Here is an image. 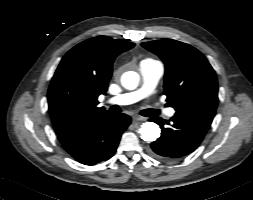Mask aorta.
<instances>
[{"instance_id": "aorta-1", "label": "aorta", "mask_w": 253, "mask_h": 200, "mask_svg": "<svg viewBox=\"0 0 253 200\" xmlns=\"http://www.w3.org/2000/svg\"><path fill=\"white\" fill-rule=\"evenodd\" d=\"M139 75L135 71H129L122 76V85L129 90L135 89L139 83ZM141 138L147 142H153L160 137L161 130L154 122H145L139 129Z\"/></svg>"}]
</instances>
